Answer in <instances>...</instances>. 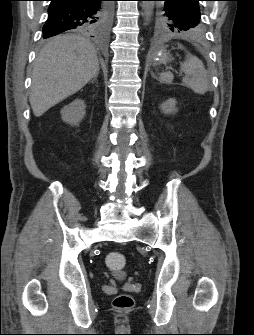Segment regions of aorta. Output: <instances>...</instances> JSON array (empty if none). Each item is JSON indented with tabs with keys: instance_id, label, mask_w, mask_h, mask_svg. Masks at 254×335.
Segmentation results:
<instances>
[{
	"instance_id": "762f6f07",
	"label": "aorta",
	"mask_w": 254,
	"mask_h": 335,
	"mask_svg": "<svg viewBox=\"0 0 254 335\" xmlns=\"http://www.w3.org/2000/svg\"><path fill=\"white\" fill-rule=\"evenodd\" d=\"M143 15L146 24L149 23L153 14L154 4L151 1H144L142 4Z\"/></svg>"
}]
</instances>
